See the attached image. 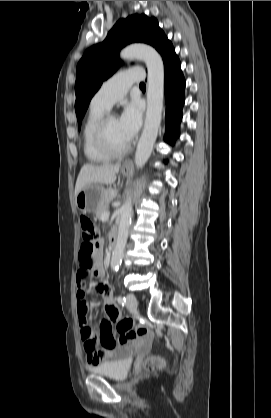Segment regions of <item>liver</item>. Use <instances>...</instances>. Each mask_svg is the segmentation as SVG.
<instances>
[{
  "mask_svg": "<svg viewBox=\"0 0 271 418\" xmlns=\"http://www.w3.org/2000/svg\"><path fill=\"white\" fill-rule=\"evenodd\" d=\"M120 169V163L115 165L95 166L92 164H84L78 175L75 185V196L87 185L92 183H100L111 185L116 181L117 174Z\"/></svg>",
  "mask_w": 271,
  "mask_h": 418,
  "instance_id": "obj_1",
  "label": "liver"
}]
</instances>
